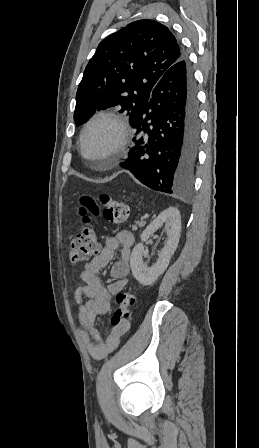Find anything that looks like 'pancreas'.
I'll return each mask as SVG.
<instances>
[{
  "mask_svg": "<svg viewBox=\"0 0 259 448\" xmlns=\"http://www.w3.org/2000/svg\"><path fill=\"white\" fill-rule=\"evenodd\" d=\"M137 226H139V228H142V226H145L144 222H135L134 226H130V228H132V230H137Z\"/></svg>",
  "mask_w": 259,
  "mask_h": 448,
  "instance_id": "cf45deb5",
  "label": "pancreas"
}]
</instances>
